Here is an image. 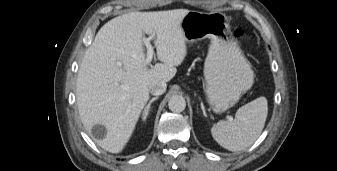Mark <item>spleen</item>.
<instances>
[{"mask_svg":"<svg viewBox=\"0 0 337 171\" xmlns=\"http://www.w3.org/2000/svg\"><path fill=\"white\" fill-rule=\"evenodd\" d=\"M268 114L267 99L263 96L240 107L233 121L221 120L211 133L215 141L229 151L251 146L260 136Z\"/></svg>","mask_w":337,"mask_h":171,"instance_id":"obj_1","label":"spleen"}]
</instances>
